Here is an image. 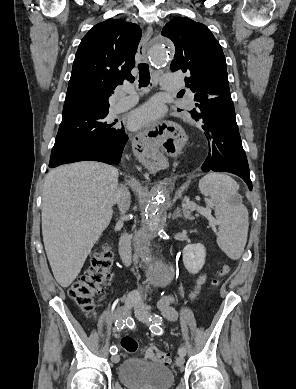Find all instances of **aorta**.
I'll use <instances>...</instances> for the list:
<instances>
[{
	"instance_id": "obj_1",
	"label": "aorta",
	"mask_w": 296,
	"mask_h": 389,
	"mask_svg": "<svg viewBox=\"0 0 296 389\" xmlns=\"http://www.w3.org/2000/svg\"><path fill=\"white\" fill-rule=\"evenodd\" d=\"M173 62L174 52L170 49L169 40L165 38L155 40L149 56L150 65L172 66ZM170 204L169 194L163 189H157L145 208L142 228L134 237L137 252L146 259V276L148 281L161 287L169 283L173 271L164 262L151 258L150 245L152 240L163 231L167 209Z\"/></svg>"
}]
</instances>
